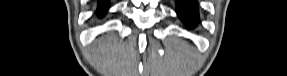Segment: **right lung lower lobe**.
Wrapping results in <instances>:
<instances>
[{"instance_id": "98d812e1", "label": "right lung lower lobe", "mask_w": 287, "mask_h": 76, "mask_svg": "<svg viewBox=\"0 0 287 76\" xmlns=\"http://www.w3.org/2000/svg\"><path fill=\"white\" fill-rule=\"evenodd\" d=\"M107 8H108L107 1H100L99 2V14L100 15H103L107 11Z\"/></svg>"}]
</instances>
